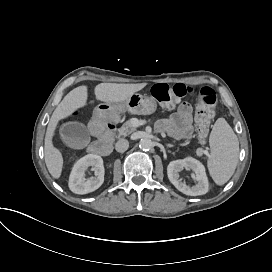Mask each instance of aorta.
<instances>
[{"instance_id": "aorta-1", "label": "aorta", "mask_w": 272, "mask_h": 272, "mask_svg": "<svg viewBox=\"0 0 272 272\" xmlns=\"http://www.w3.org/2000/svg\"><path fill=\"white\" fill-rule=\"evenodd\" d=\"M140 148L143 150H149L153 147V142L151 139L149 138H143L140 140Z\"/></svg>"}]
</instances>
